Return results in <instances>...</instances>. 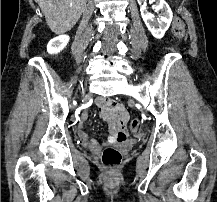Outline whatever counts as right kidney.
Segmentation results:
<instances>
[{
	"instance_id": "1",
	"label": "right kidney",
	"mask_w": 217,
	"mask_h": 202,
	"mask_svg": "<svg viewBox=\"0 0 217 202\" xmlns=\"http://www.w3.org/2000/svg\"><path fill=\"white\" fill-rule=\"evenodd\" d=\"M69 42V36H58V38H53L47 44V52L49 54H58L61 52Z\"/></svg>"
}]
</instances>
